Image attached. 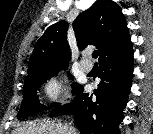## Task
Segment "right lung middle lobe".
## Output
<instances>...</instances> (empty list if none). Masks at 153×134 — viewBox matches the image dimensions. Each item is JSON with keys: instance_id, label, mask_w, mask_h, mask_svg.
I'll return each mask as SVG.
<instances>
[{"instance_id": "right-lung-middle-lobe-1", "label": "right lung middle lobe", "mask_w": 153, "mask_h": 134, "mask_svg": "<svg viewBox=\"0 0 153 134\" xmlns=\"http://www.w3.org/2000/svg\"><path fill=\"white\" fill-rule=\"evenodd\" d=\"M66 68L67 66L52 68L25 78V85L23 88V100L17 115L18 119L34 115L45 109L54 108L57 105H59L58 103H54L53 105L46 107L45 105L40 104L37 90H39L43 82L49 80L54 75H57V72L61 71V69H66ZM69 77L72 78V75L69 74ZM81 87H82L81 85L73 83L72 85L73 94H76V92Z\"/></svg>"}]
</instances>
